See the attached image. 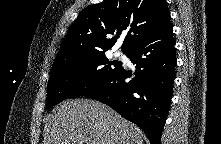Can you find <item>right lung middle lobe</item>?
<instances>
[{"instance_id":"right-lung-middle-lobe-1","label":"right lung middle lobe","mask_w":221,"mask_h":144,"mask_svg":"<svg viewBox=\"0 0 221 144\" xmlns=\"http://www.w3.org/2000/svg\"><path fill=\"white\" fill-rule=\"evenodd\" d=\"M122 66L106 58L105 53L52 68L47 87L46 106L83 96L108 81Z\"/></svg>"}]
</instances>
